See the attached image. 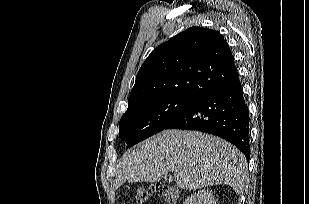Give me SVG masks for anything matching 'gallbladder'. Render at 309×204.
<instances>
[{"instance_id":"1","label":"gallbladder","mask_w":309,"mask_h":204,"mask_svg":"<svg viewBox=\"0 0 309 204\" xmlns=\"http://www.w3.org/2000/svg\"><path fill=\"white\" fill-rule=\"evenodd\" d=\"M172 180H173V177H172L171 175H166V176L164 177V181H165V182H172Z\"/></svg>"}]
</instances>
